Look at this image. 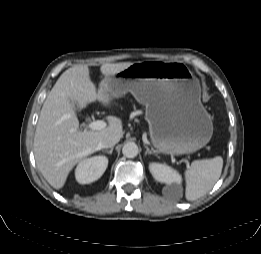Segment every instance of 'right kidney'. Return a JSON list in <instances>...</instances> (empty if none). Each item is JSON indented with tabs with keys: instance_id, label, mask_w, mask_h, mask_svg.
Instances as JSON below:
<instances>
[{
	"instance_id": "1",
	"label": "right kidney",
	"mask_w": 261,
	"mask_h": 254,
	"mask_svg": "<svg viewBox=\"0 0 261 254\" xmlns=\"http://www.w3.org/2000/svg\"><path fill=\"white\" fill-rule=\"evenodd\" d=\"M108 166V159L105 156H94L83 159L79 162L75 177L80 184H89L98 180Z\"/></svg>"
}]
</instances>
